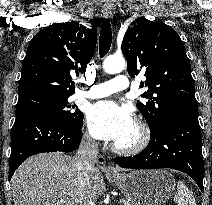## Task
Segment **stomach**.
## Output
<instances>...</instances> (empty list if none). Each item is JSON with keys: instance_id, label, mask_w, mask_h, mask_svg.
Returning a JSON list of instances; mask_svg holds the SVG:
<instances>
[{"instance_id": "stomach-1", "label": "stomach", "mask_w": 212, "mask_h": 205, "mask_svg": "<svg viewBox=\"0 0 212 205\" xmlns=\"http://www.w3.org/2000/svg\"><path fill=\"white\" fill-rule=\"evenodd\" d=\"M111 178L132 205H162L175 188L174 177L163 169L134 170Z\"/></svg>"}]
</instances>
